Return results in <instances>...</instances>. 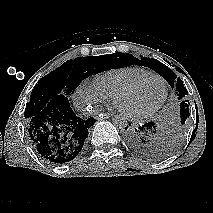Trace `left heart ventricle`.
Returning a JSON list of instances; mask_svg holds the SVG:
<instances>
[{"mask_svg": "<svg viewBox=\"0 0 213 213\" xmlns=\"http://www.w3.org/2000/svg\"><path fill=\"white\" fill-rule=\"evenodd\" d=\"M163 84L157 78H148L120 101L123 110L131 113L146 111L160 102Z\"/></svg>", "mask_w": 213, "mask_h": 213, "instance_id": "left-heart-ventricle-1", "label": "left heart ventricle"}]
</instances>
